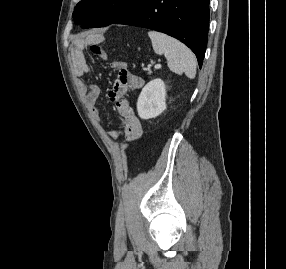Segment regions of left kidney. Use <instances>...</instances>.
Instances as JSON below:
<instances>
[{"label":"left kidney","instance_id":"left-kidney-1","mask_svg":"<svg viewBox=\"0 0 286 269\" xmlns=\"http://www.w3.org/2000/svg\"><path fill=\"white\" fill-rule=\"evenodd\" d=\"M166 109V87L161 79H154L142 89L138 101L137 111L141 119L159 116Z\"/></svg>","mask_w":286,"mask_h":269}]
</instances>
